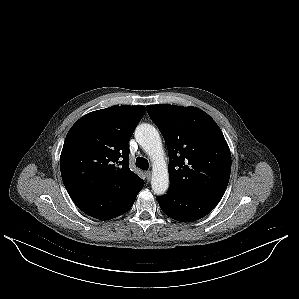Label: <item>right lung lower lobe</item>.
<instances>
[{
  "instance_id": "98d812e1",
  "label": "right lung lower lobe",
  "mask_w": 299,
  "mask_h": 299,
  "mask_svg": "<svg viewBox=\"0 0 299 299\" xmlns=\"http://www.w3.org/2000/svg\"><path fill=\"white\" fill-rule=\"evenodd\" d=\"M123 196V190L116 186L85 192L71 198L87 215L100 220H108L127 212L137 195L128 202L123 201Z\"/></svg>"
}]
</instances>
